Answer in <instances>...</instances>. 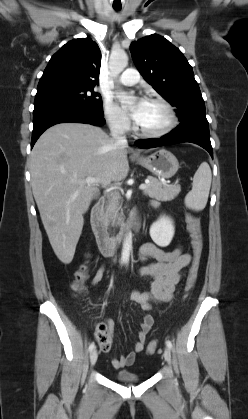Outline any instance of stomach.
<instances>
[{
    "instance_id": "1",
    "label": "stomach",
    "mask_w": 248,
    "mask_h": 419,
    "mask_svg": "<svg viewBox=\"0 0 248 419\" xmlns=\"http://www.w3.org/2000/svg\"><path fill=\"white\" fill-rule=\"evenodd\" d=\"M136 161L160 178H171L179 169L177 158L165 149H160L146 157H138Z\"/></svg>"
}]
</instances>
